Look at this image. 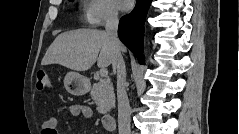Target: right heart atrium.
I'll use <instances>...</instances> for the list:
<instances>
[{
  "label": "right heart atrium",
  "mask_w": 239,
  "mask_h": 134,
  "mask_svg": "<svg viewBox=\"0 0 239 134\" xmlns=\"http://www.w3.org/2000/svg\"><path fill=\"white\" fill-rule=\"evenodd\" d=\"M85 22L92 27L103 26L118 19V9L113 0H89L83 9Z\"/></svg>",
  "instance_id": "right-heart-atrium-1"
}]
</instances>
